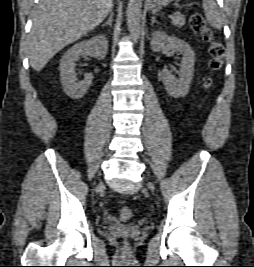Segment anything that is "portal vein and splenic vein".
Masks as SVG:
<instances>
[{
	"instance_id": "18ae733b",
	"label": "portal vein and splenic vein",
	"mask_w": 254,
	"mask_h": 267,
	"mask_svg": "<svg viewBox=\"0 0 254 267\" xmlns=\"http://www.w3.org/2000/svg\"><path fill=\"white\" fill-rule=\"evenodd\" d=\"M177 15H179V12H175V13H173L172 15H170V18H174V17H176Z\"/></svg>"
}]
</instances>
